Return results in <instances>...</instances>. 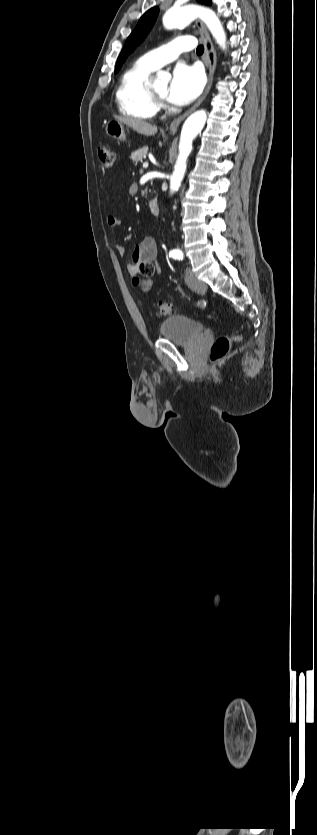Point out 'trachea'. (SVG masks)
<instances>
[{
  "instance_id": "obj_1",
  "label": "trachea",
  "mask_w": 317,
  "mask_h": 835,
  "mask_svg": "<svg viewBox=\"0 0 317 835\" xmlns=\"http://www.w3.org/2000/svg\"><path fill=\"white\" fill-rule=\"evenodd\" d=\"M196 52H197V54L201 55L204 52L203 45L198 46Z\"/></svg>"
}]
</instances>
